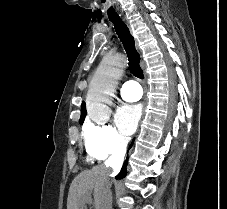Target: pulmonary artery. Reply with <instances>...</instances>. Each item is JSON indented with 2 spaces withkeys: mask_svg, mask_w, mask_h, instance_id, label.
Listing matches in <instances>:
<instances>
[{
  "mask_svg": "<svg viewBox=\"0 0 227 209\" xmlns=\"http://www.w3.org/2000/svg\"><path fill=\"white\" fill-rule=\"evenodd\" d=\"M142 88H139L138 84L127 82L120 88V96L125 101H137L140 99Z\"/></svg>",
  "mask_w": 227,
  "mask_h": 209,
  "instance_id": "1",
  "label": "pulmonary artery"
}]
</instances>
